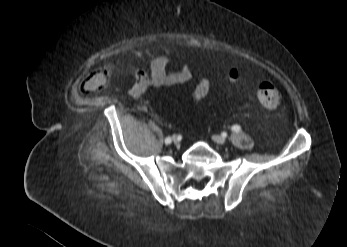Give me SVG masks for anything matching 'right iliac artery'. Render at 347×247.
<instances>
[{
  "instance_id": "obj_1",
  "label": "right iliac artery",
  "mask_w": 347,
  "mask_h": 247,
  "mask_svg": "<svg viewBox=\"0 0 347 247\" xmlns=\"http://www.w3.org/2000/svg\"><path fill=\"white\" fill-rule=\"evenodd\" d=\"M165 143H166V144H170V143H171V137H167V138L165 139Z\"/></svg>"
}]
</instances>
